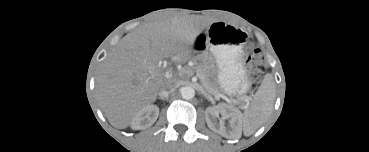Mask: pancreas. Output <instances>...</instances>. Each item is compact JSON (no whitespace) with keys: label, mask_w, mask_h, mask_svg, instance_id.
I'll return each mask as SVG.
<instances>
[{"label":"pancreas","mask_w":369,"mask_h":152,"mask_svg":"<svg viewBox=\"0 0 369 152\" xmlns=\"http://www.w3.org/2000/svg\"><path fill=\"white\" fill-rule=\"evenodd\" d=\"M197 75L198 77L201 79L202 85L203 87L209 92H213L216 94H219V89L217 87V85L211 81H209L206 77V75L204 74V72L201 69L197 70Z\"/></svg>","instance_id":"obj_1"}]
</instances>
